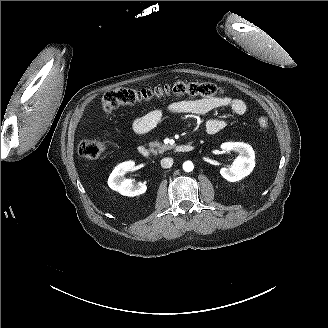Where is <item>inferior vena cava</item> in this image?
I'll use <instances>...</instances> for the list:
<instances>
[{"instance_id":"1","label":"inferior vena cava","mask_w":328,"mask_h":328,"mask_svg":"<svg viewBox=\"0 0 328 328\" xmlns=\"http://www.w3.org/2000/svg\"><path fill=\"white\" fill-rule=\"evenodd\" d=\"M173 165V158L166 157L161 160V167L162 168H170Z\"/></svg>"}]
</instances>
